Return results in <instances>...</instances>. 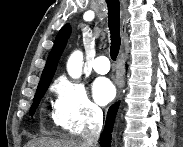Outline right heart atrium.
<instances>
[{
  "instance_id": "1",
  "label": "right heart atrium",
  "mask_w": 183,
  "mask_h": 147,
  "mask_svg": "<svg viewBox=\"0 0 183 147\" xmlns=\"http://www.w3.org/2000/svg\"><path fill=\"white\" fill-rule=\"evenodd\" d=\"M54 92V117L63 130L81 134L100 122L102 112L89 99L82 84L62 78L55 84Z\"/></svg>"
}]
</instances>
